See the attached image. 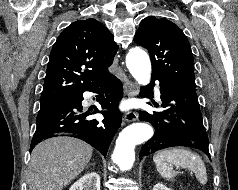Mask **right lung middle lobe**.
<instances>
[{"mask_svg":"<svg viewBox=\"0 0 238 190\" xmlns=\"http://www.w3.org/2000/svg\"><path fill=\"white\" fill-rule=\"evenodd\" d=\"M73 99H74V97L59 100V101H53V102H42L41 105H40V110H44V109L52 108V107H55V106H59V105L71 102Z\"/></svg>","mask_w":238,"mask_h":190,"instance_id":"right-lung-middle-lobe-1","label":"right lung middle lobe"}]
</instances>
